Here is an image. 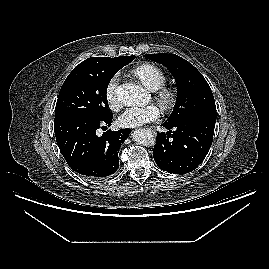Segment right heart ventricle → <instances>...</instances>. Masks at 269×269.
<instances>
[{
	"instance_id": "right-heart-ventricle-1",
	"label": "right heart ventricle",
	"mask_w": 269,
	"mask_h": 269,
	"mask_svg": "<svg viewBox=\"0 0 269 269\" xmlns=\"http://www.w3.org/2000/svg\"><path fill=\"white\" fill-rule=\"evenodd\" d=\"M134 76L149 90L156 91L166 83L163 71L153 64H142L133 71Z\"/></svg>"
}]
</instances>
